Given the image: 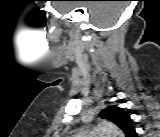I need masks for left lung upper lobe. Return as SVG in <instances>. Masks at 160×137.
I'll use <instances>...</instances> for the list:
<instances>
[{"label":"left lung upper lobe","mask_w":160,"mask_h":137,"mask_svg":"<svg viewBox=\"0 0 160 137\" xmlns=\"http://www.w3.org/2000/svg\"><path fill=\"white\" fill-rule=\"evenodd\" d=\"M100 116L115 123L127 136L134 130L129 114L122 108L110 106L102 110Z\"/></svg>","instance_id":"obj_1"}]
</instances>
